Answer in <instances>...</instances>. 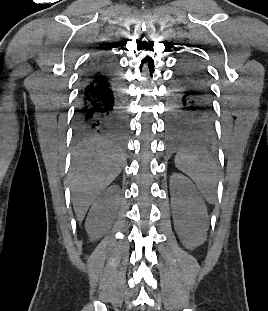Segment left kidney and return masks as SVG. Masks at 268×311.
<instances>
[{"instance_id": "left-kidney-1", "label": "left kidney", "mask_w": 268, "mask_h": 311, "mask_svg": "<svg viewBox=\"0 0 268 311\" xmlns=\"http://www.w3.org/2000/svg\"><path fill=\"white\" fill-rule=\"evenodd\" d=\"M170 189L175 231L182 244L192 250L206 239L207 208L187 177L173 174L170 178Z\"/></svg>"}]
</instances>
